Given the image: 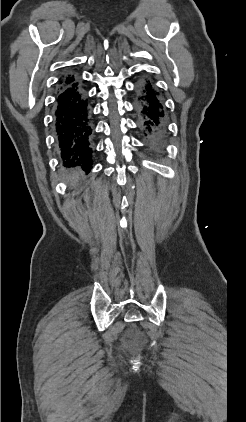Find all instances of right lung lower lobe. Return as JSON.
<instances>
[{"mask_svg": "<svg viewBox=\"0 0 246 422\" xmlns=\"http://www.w3.org/2000/svg\"><path fill=\"white\" fill-rule=\"evenodd\" d=\"M54 127L60 159L65 167L92 168L90 108L78 80L60 85L56 96Z\"/></svg>", "mask_w": 246, "mask_h": 422, "instance_id": "right-lung-lower-lobe-1", "label": "right lung lower lobe"}]
</instances>
